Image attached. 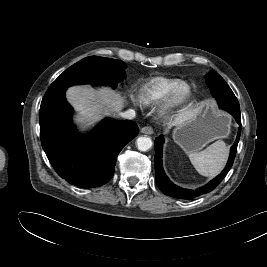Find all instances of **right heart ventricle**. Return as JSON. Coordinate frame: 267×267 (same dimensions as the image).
Instances as JSON below:
<instances>
[{
  "label": "right heart ventricle",
  "instance_id": "obj_1",
  "mask_svg": "<svg viewBox=\"0 0 267 267\" xmlns=\"http://www.w3.org/2000/svg\"><path fill=\"white\" fill-rule=\"evenodd\" d=\"M180 83L178 79L157 77L144 84L139 91V98L150 105L163 100L169 92Z\"/></svg>",
  "mask_w": 267,
  "mask_h": 267
}]
</instances>
